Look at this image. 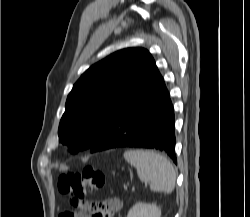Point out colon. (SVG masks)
<instances>
[{
    "instance_id": "obj_1",
    "label": "colon",
    "mask_w": 250,
    "mask_h": 217,
    "mask_svg": "<svg viewBox=\"0 0 250 217\" xmlns=\"http://www.w3.org/2000/svg\"><path fill=\"white\" fill-rule=\"evenodd\" d=\"M105 185V176L91 166H86L80 171L68 172L58 178V189L71 198L70 203L74 210H68L59 217H70L78 212L88 217H102L101 204L99 202H87L83 197L89 193L100 190Z\"/></svg>"
}]
</instances>
